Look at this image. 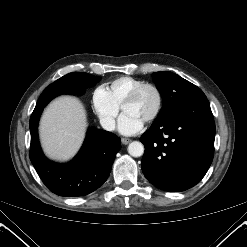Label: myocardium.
<instances>
[{
    "label": "myocardium",
    "instance_id": "myocardium-1",
    "mask_svg": "<svg viewBox=\"0 0 247 247\" xmlns=\"http://www.w3.org/2000/svg\"><path fill=\"white\" fill-rule=\"evenodd\" d=\"M146 89H152L155 92L156 97H157V104H156L154 112L145 120L146 123H151L159 117L162 111V108H163V94H162L161 89L156 84L143 83L137 86L124 100L122 104V110H124V107L126 105L136 101L137 98L141 95V93Z\"/></svg>",
    "mask_w": 247,
    "mask_h": 247
}]
</instances>
